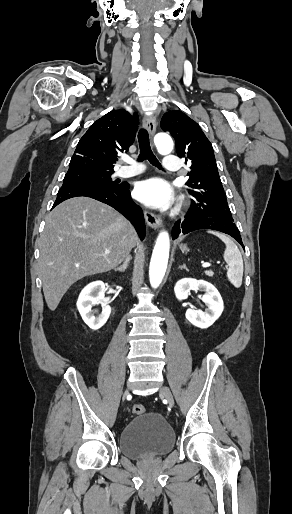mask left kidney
<instances>
[{
	"label": "left kidney",
	"mask_w": 292,
	"mask_h": 514,
	"mask_svg": "<svg viewBox=\"0 0 292 514\" xmlns=\"http://www.w3.org/2000/svg\"><path fill=\"white\" fill-rule=\"evenodd\" d=\"M190 290L205 292L201 300L206 304L207 310L202 312V310L189 308L185 316L193 326H197V328H209V326H212L215 320H218L219 316H221L224 310L223 300L218 290H216L212 284H209V282H205V280L183 278V280H179V282L175 284L174 292L178 300H186L190 294Z\"/></svg>",
	"instance_id": "left-kidney-1"
}]
</instances>
